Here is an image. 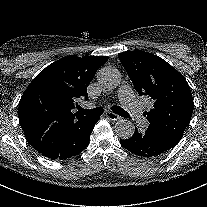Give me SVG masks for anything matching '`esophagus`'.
<instances>
[{
    "instance_id": "esophagus-1",
    "label": "esophagus",
    "mask_w": 207,
    "mask_h": 207,
    "mask_svg": "<svg viewBox=\"0 0 207 207\" xmlns=\"http://www.w3.org/2000/svg\"><path fill=\"white\" fill-rule=\"evenodd\" d=\"M106 117H107L108 119H110V120H113V121L119 119V115L116 114V113H114V112H107V113H106Z\"/></svg>"
}]
</instances>
